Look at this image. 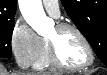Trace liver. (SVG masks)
I'll return each mask as SVG.
<instances>
[{"mask_svg":"<svg viewBox=\"0 0 107 75\" xmlns=\"http://www.w3.org/2000/svg\"><path fill=\"white\" fill-rule=\"evenodd\" d=\"M0 75H8L7 71L3 67H1L0 69ZM13 75H44V74H32V73L19 72Z\"/></svg>","mask_w":107,"mask_h":75,"instance_id":"1","label":"liver"}]
</instances>
